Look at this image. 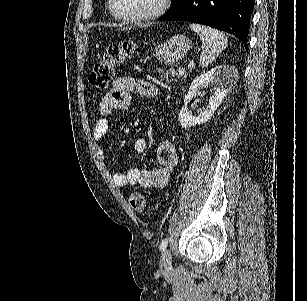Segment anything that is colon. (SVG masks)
<instances>
[{
    "label": "colon",
    "instance_id": "obj_1",
    "mask_svg": "<svg viewBox=\"0 0 307 301\" xmlns=\"http://www.w3.org/2000/svg\"><path fill=\"white\" fill-rule=\"evenodd\" d=\"M134 51L135 45L129 41L111 44L101 60L94 65L89 75L90 84L100 90L106 89L114 78L115 67L125 59L130 58ZM129 203L137 213L147 211V200L139 191H132L129 194Z\"/></svg>",
    "mask_w": 307,
    "mask_h": 301
}]
</instances>
